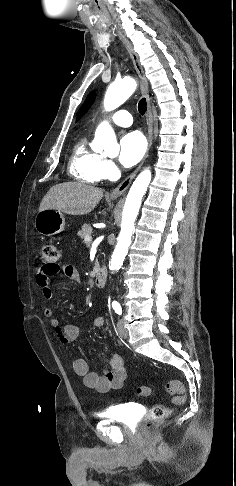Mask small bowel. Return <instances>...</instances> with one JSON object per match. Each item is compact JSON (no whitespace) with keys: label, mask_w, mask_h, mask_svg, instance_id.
<instances>
[{"label":"small bowel","mask_w":236,"mask_h":486,"mask_svg":"<svg viewBox=\"0 0 236 486\" xmlns=\"http://www.w3.org/2000/svg\"><path fill=\"white\" fill-rule=\"evenodd\" d=\"M59 271H63V273L74 282L80 283V276L72 265H65L63 267L57 265L52 270H45L41 266L36 273V283L41 288L42 294L47 300L53 298L51 277ZM44 314L50 318V323L55 329L56 335L61 342L67 343L74 341L78 337L80 333L79 325H61L58 319L54 317L53 309L49 306L45 308ZM104 322L105 319L103 316H97L93 320L95 327L103 326ZM73 369L78 376L83 378V383L87 388L94 389L100 393H106L111 389L121 388L126 378L124 362L122 357L118 354H114L111 357L108 366L104 369L102 375L90 371L87 362L81 358L74 360Z\"/></svg>","instance_id":"obj_1"}]
</instances>
